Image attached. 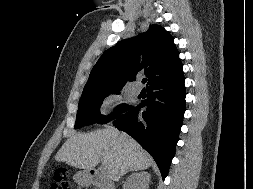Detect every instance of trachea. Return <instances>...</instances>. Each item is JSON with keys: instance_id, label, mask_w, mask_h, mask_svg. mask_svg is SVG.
<instances>
[{"instance_id": "1", "label": "trachea", "mask_w": 253, "mask_h": 189, "mask_svg": "<svg viewBox=\"0 0 253 189\" xmlns=\"http://www.w3.org/2000/svg\"><path fill=\"white\" fill-rule=\"evenodd\" d=\"M146 82H147V79L144 78V79L142 80V83H146Z\"/></svg>"}]
</instances>
